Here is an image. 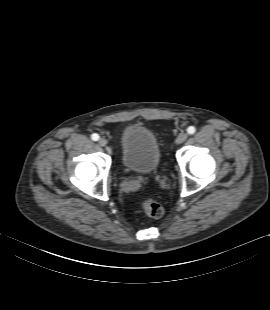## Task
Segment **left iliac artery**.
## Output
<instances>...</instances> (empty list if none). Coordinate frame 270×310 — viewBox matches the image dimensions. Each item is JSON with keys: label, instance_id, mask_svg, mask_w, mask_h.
Here are the masks:
<instances>
[{"label": "left iliac artery", "instance_id": "1", "mask_svg": "<svg viewBox=\"0 0 270 310\" xmlns=\"http://www.w3.org/2000/svg\"><path fill=\"white\" fill-rule=\"evenodd\" d=\"M196 131V128L194 126H190L187 129L188 134H194Z\"/></svg>", "mask_w": 270, "mask_h": 310}]
</instances>
